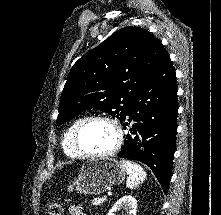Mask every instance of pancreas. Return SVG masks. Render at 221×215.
<instances>
[{
  "label": "pancreas",
  "instance_id": "obj_1",
  "mask_svg": "<svg viewBox=\"0 0 221 215\" xmlns=\"http://www.w3.org/2000/svg\"><path fill=\"white\" fill-rule=\"evenodd\" d=\"M105 201H106L105 198H94L93 200H91V203L94 206H99L102 205Z\"/></svg>",
  "mask_w": 221,
  "mask_h": 215
}]
</instances>
